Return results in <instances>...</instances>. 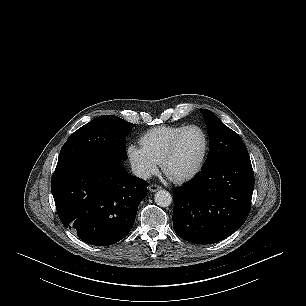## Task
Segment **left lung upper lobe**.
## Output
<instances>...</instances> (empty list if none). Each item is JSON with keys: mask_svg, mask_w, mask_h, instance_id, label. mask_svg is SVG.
I'll use <instances>...</instances> for the list:
<instances>
[{"mask_svg": "<svg viewBox=\"0 0 306 306\" xmlns=\"http://www.w3.org/2000/svg\"><path fill=\"white\" fill-rule=\"evenodd\" d=\"M200 111L207 125L210 143L209 154L203 168L222 160L249 156L241 137L236 132L224 125L213 112L207 109Z\"/></svg>", "mask_w": 306, "mask_h": 306, "instance_id": "5c2ea615", "label": "left lung upper lobe"}]
</instances>
